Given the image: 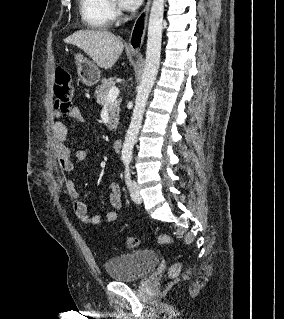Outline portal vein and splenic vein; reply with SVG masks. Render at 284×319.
<instances>
[{
  "instance_id": "1",
  "label": "portal vein and splenic vein",
  "mask_w": 284,
  "mask_h": 319,
  "mask_svg": "<svg viewBox=\"0 0 284 319\" xmlns=\"http://www.w3.org/2000/svg\"><path fill=\"white\" fill-rule=\"evenodd\" d=\"M119 95V89L117 87H112L107 95V102H113Z\"/></svg>"
}]
</instances>
